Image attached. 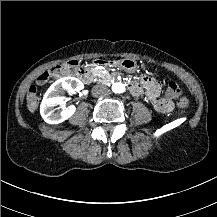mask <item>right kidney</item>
Returning <instances> with one entry per match:
<instances>
[{
  "label": "right kidney",
  "mask_w": 217,
  "mask_h": 217,
  "mask_svg": "<svg viewBox=\"0 0 217 217\" xmlns=\"http://www.w3.org/2000/svg\"><path fill=\"white\" fill-rule=\"evenodd\" d=\"M84 89V84L75 77H64L55 81L44 94L40 105V114L45 122L58 124L71 117L76 107L74 105L64 106L60 112H55V106L62 105L65 91L69 93L79 92Z\"/></svg>",
  "instance_id": "1"
}]
</instances>
